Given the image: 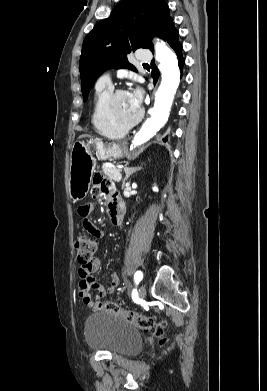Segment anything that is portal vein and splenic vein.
Segmentation results:
<instances>
[{
	"label": "portal vein and splenic vein",
	"mask_w": 267,
	"mask_h": 391,
	"mask_svg": "<svg viewBox=\"0 0 267 391\" xmlns=\"http://www.w3.org/2000/svg\"><path fill=\"white\" fill-rule=\"evenodd\" d=\"M118 168H119V169H122V168H123V166H122V165H120V166H118Z\"/></svg>",
	"instance_id": "18ae733b"
}]
</instances>
